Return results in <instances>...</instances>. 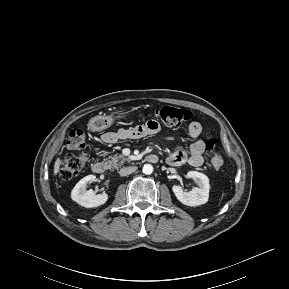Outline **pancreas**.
<instances>
[{
  "mask_svg": "<svg viewBox=\"0 0 289 289\" xmlns=\"http://www.w3.org/2000/svg\"><path fill=\"white\" fill-rule=\"evenodd\" d=\"M127 160L122 154L115 155L113 157H109V159H106L105 163L108 165L109 168H119L120 165L124 163V161Z\"/></svg>",
  "mask_w": 289,
  "mask_h": 289,
  "instance_id": "pancreas-1",
  "label": "pancreas"
}]
</instances>
